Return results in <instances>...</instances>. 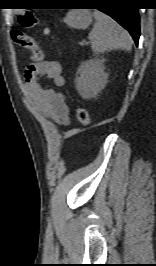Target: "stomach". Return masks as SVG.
Instances as JSON below:
<instances>
[{
  "instance_id": "1",
  "label": "stomach",
  "mask_w": 156,
  "mask_h": 266,
  "mask_svg": "<svg viewBox=\"0 0 156 266\" xmlns=\"http://www.w3.org/2000/svg\"><path fill=\"white\" fill-rule=\"evenodd\" d=\"M63 21L71 28L86 29L92 22V15L88 10H71Z\"/></svg>"
}]
</instances>
